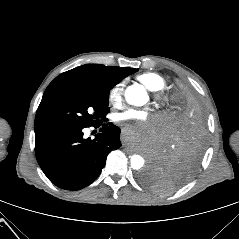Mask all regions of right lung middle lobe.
Returning <instances> with one entry per match:
<instances>
[{
    "mask_svg": "<svg viewBox=\"0 0 239 239\" xmlns=\"http://www.w3.org/2000/svg\"><path fill=\"white\" fill-rule=\"evenodd\" d=\"M115 86H64L44 93L35 117L38 127H90L109 113V91Z\"/></svg>",
    "mask_w": 239,
    "mask_h": 239,
    "instance_id": "1",
    "label": "right lung middle lobe"
}]
</instances>
